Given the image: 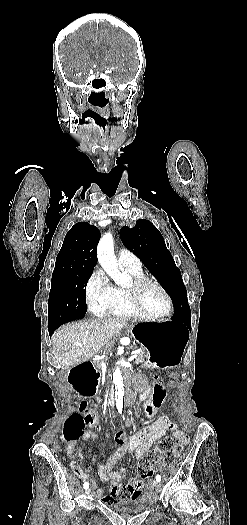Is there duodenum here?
<instances>
[{
    "mask_svg": "<svg viewBox=\"0 0 247 525\" xmlns=\"http://www.w3.org/2000/svg\"><path fill=\"white\" fill-rule=\"evenodd\" d=\"M70 385L83 396H93L96 394L100 373L93 361H83L73 367L68 375ZM115 392L111 390L108 395L109 404H113Z\"/></svg>",
    "mask_w": 247,
    "mask_h": 525,
    "instance_id": "obj_1",
    "label": "duodenum"
}]
</instances>
